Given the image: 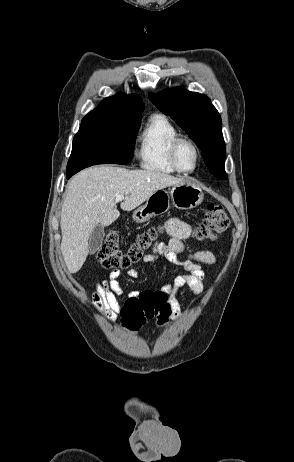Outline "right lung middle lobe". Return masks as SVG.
<instances>
[{"instance_id": "right-lung-middle-lobe-1", "label": "right lung middle lobe", "mask_w": 294, "mask_h": 462, "mask_svg": "<svg viewBox=\"0 0 294 462\" xmlns=\"http://www.w3.org/2000/svg\"><path fill=\"white\" fill-rule=\"evenodd\" d=\"M140 120L141 115H86L73 139L67 175L92 165L130 162L135 145L133 137L139 130Z\"/></svg>"}]
</instances>
